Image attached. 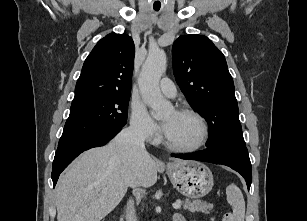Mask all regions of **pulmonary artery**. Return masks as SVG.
<instances>
[{
	"label": "pulmonary artery",
	"mask_w": 307,
	"mask_h": 221,
	"mask_svg": "<svg viewBox=\"0 0 307 221\" xmlns=\"http://www.w3.org/2000/svg\"><path fill=\"white\" fill-rule=\"evenodd\" d=\"M160 90L167 97H175L177 94V89L175 84L169 78H163L160 81Z\"/></svg>",
	"instance_id": "obj_1"
}]
</instances>
